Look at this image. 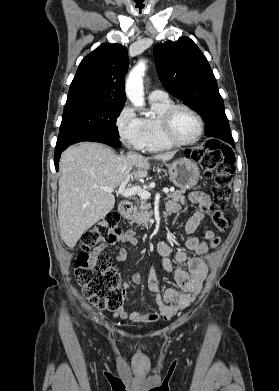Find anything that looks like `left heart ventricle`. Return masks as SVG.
Segmentation results:
<instances>
[{
    "label": "left heart ventricle",
    "instance_id": "obj_1",
    "mask_svg": "<svg viewBox=\"0 0 279 391\" xmlns=\"http://www.w3.org/2000/svg\"><path fill=\"white\" fill-rule=\"evenodd\" d=\"M173 132L180 141L193 140L199 132V123L192 113L180 109L173 119Z\"/></svg>",
    "mask_w": 279,
    "mask_h": 391
}]
</instances>
